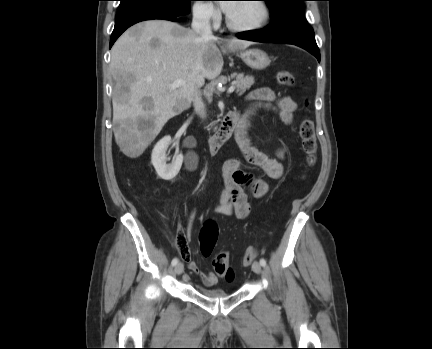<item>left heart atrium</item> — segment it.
<instances>
[{
  "mask_svg": "<svg viewBox=\"0 0 432 349\" xmlns=\"http://www.w3.org/2000/svg\"><path fill=\"white\" fill-rule=\"evenodd\" d=\"M234 6H235V3H233L232 1H226V2H223L222 9L228 14L229 12L232 11Z\"/></svg>",
  "mask_w": 432,
  "mask_h": 349,
  "instance_id": "39dd6f15",
  "label": "left heart atrium"
}]
</instances>
